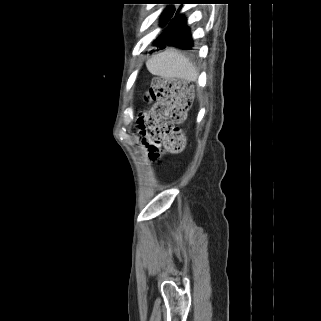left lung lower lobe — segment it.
<instances>
[{"label": "left lung lower lobe", "mask_w": 321, "mask_h": 321, "mask_svg": "<svg viewBox=\"0 0 321 321\" xmlns=\"http://www.w3.org/2000/svg\"><path fill=\"white\" fill-rule=\"evenodd\" d=\"M191 1L192 0H182L179 4H186ZM180 9L181 7L175 12V15L171 17L163 37L154 42V45L160 49H165L167 46L189 50L192 49L193 40L190 28L187 26L184 15L179 13Z\"/></svg>", "instance_id": "1"}]
</instances>
